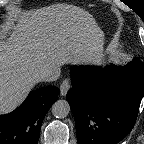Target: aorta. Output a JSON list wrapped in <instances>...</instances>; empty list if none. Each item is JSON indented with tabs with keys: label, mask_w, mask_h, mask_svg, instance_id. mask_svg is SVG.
Instances as JSON below:
<instances>
[{
	"label": "aorta",
	"mask_w": 144,
	"mask_h": 144,
	"mask_svg": "<svg viewBox=\"0 0 144 144\" xmlns=\"http://www.w3.org/2000/svg\"><path fill=\"white\" fill-rule=\"evenodd\" d=\"M70 112V105L66 100H57L52 106V114L56 118H65Z\"/></svg>",
	"instance_id": "1"
}]
</instances>
